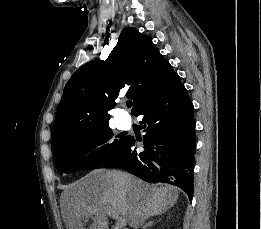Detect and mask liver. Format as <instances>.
<instances>
[{
  "label": "liver",
  "instance_id": "1",
  "mask_svg": "<svg viewBox=\"0 0 261 229\" xmlns=\"http://www.w3.org/2000/svg\"><path fill=\"white\" fill-rule=\"evenodd\" d=\"M178 187H153L122 171L95 169L70 185L64 199V219L68 229H108L111 219H125L132 229H140L149 217L162 215L177 203Z\"/></svg>",
  "mask_w": 261,
  "mask_h": 229
}]
</instances>
